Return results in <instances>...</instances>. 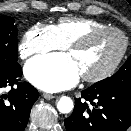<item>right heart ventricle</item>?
I'll return each mask as SVG.
<instances>
[{
	"mask_svg": "<svg viewBox=\"0 0 131 131\" xmlns=\"http://www.w3.org/2000/svg\"><path fill=\"white\" fill-rule=\"evenodd\" d=\"M106 26L105 23L91 18L65 17L61 18L53 27L60 42L67 46L84 33Z\"/></svg>",
	"mask_w": 131,
	"mask_h": 131,
	"instance_id": "obj_1",
	"label": "right heart ventricle"
}]
</instances>
